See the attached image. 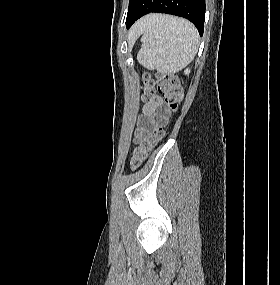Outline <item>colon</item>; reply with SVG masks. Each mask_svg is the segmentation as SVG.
Returning <instances> with one entry per match:
<instances>
[{
    "label": "colon",
    "instance_id": "colon-1",
    "mask_svg": "<svg viewBox=\"0 0 280 285\" xmlns=\"http://www.w3.org/2000/svg\"><path fill=\"white\" fill-rule=\"evenodd\" d=\"M156 82L158 84V91L164 98L165 103L171 111L178 109L182 100V90L180 88L178 79L171 73L156 74ZM155 80L147 73L142 76V90L144 97H149L154 89ZM166 120H157L150 129L138 139L135 146L131 164L134 168L138 167L154 146L161 140L165 134Z\"/></svg>",
    "mask_w": 280,
    "mask_h": 285
}]
</instances>
